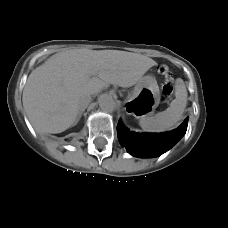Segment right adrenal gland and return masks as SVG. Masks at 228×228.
<instances>
[{"instance_id":"obj_1","label":"right adrenal gland","mask_w":228,"mask_h":228,"mask_svg":"<svg viewBox=\"0 0 228 228\" xmlns=\"http://www.w3.org/2000/svg\"><path fill=\"white\" fill-rule=\"evenodd\" d=\"M83 112H84V110L79 111L75 124H77V123H78V121L80 120L81 115L83 114Z\"/></svg>"}]
</instances>
